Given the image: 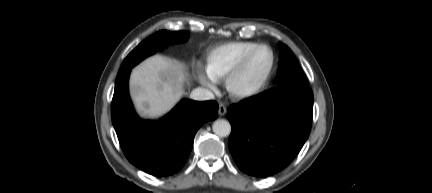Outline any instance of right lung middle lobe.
Returning <instances> with one entry per match:
<instances>
[{"label": "right lung middle lobe", "mask_w": 432, "mask_h": 193, "mask_svg": "<svg viewBox=\"0 0 432 193\" xmlns=\"http://www.w3.org/2000/svg\"><path fill=\"white\" fill-rule=\"evenodd\" d=\"M188 38L189 32L187 31H159L141 42L132 52H130L123 61L120 72L133 68L144 58L165 48L168 44L185 42Z\"/></svg>", "instance_id": "dd1d6c3e"}]
</instances>
